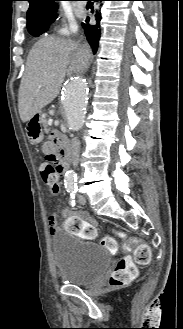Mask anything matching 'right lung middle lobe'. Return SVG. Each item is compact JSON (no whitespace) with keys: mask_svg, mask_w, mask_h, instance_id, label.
<instances>
[{"mask_svg":"<svg viewBox=\"0 0 183 329\" xmlns=\"http://www.w3.org/2000/svg\"><path fill=\"white\" fill-rule=\"evenodd\" d=\"M53 21H54V20H53ZM53 21L38 23V24L32 26L30 29H28V31H29V33H30L31 35L37 37V36L43 34L45 31H47L48 26H49Z\"/></svg>","mask_w":183,"mask_h":329,"instance_id":"obj_1","label":"right lung middle lobe"}]
</instances>
